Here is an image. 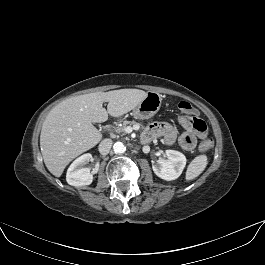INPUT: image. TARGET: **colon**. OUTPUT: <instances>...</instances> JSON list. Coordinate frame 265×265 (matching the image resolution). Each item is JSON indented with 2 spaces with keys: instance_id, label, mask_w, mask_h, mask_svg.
Masks as SVG:
<instances>
[{
  "instance_id": "1",
  "label": "colon",
  "mask_w": 265,
  "mask_h": 265,
  "mask_svg": "<svg viewBox=\"0 0 265 265\" xmlns=\"http://www.w3.org/2000/svg\"><path fill=\"white\" fill-rule=\"evenodd\" d=\"M180 110L189 115L196 117L198 112L189 102L182 101L179 103ZM213 146V140L210 137H204L200 143V150L201 151H208Z\"/></svg>"
}]
</instances>
